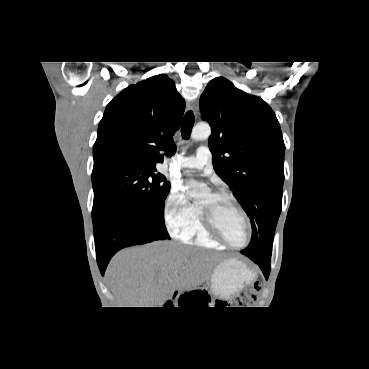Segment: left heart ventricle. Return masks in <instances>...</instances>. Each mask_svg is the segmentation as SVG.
Instances as JSON below:
<instances>
[{
	"mask_svg": "<svg viewBox=\"0 0 369 369\" xmlns=\"http://www.w3.org/2000/svg\"><path fill=\"white\" fill-rule=\"evenodd\" d=\"M199 206L212 212L215 222L225 238L235 245H242L247 238V228L241 212L226 199H216L205 195Z\"/></svg>",
	"mask_w": 369,
	"mask_h": 369,
	"instance_id": "1",
	"label": "left heart ventricle"
}]
</instances>
